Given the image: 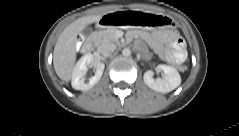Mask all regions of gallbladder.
Wrapping results in <instances>:
<instances>
[{
    "label": "gallbladder",
    "instance_id": "obj_1",
    "mask_svg": "<svg viewBox=\"0 0 239 136\" xmlns=\"http://www.w3.org/2000/svg\"><path fill=\"white\" fill-rule=\"evenodd\" d=\"M85 33H86L87 35H89V34L91 33V31H90V30H85Z\"/></svg>",
    "mask_w": 239,
    "mask_h": 136
}]
</instances>
